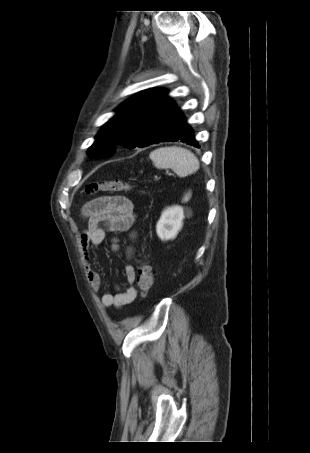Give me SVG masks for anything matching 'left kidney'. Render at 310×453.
Returning <instances> with one entry per match:
<instances>
[{
    "label": "left kidney",
    "mask_w": 310,
    "mask_h": 453,
    "mask_svg": "<svg viewBox=\"0 0 310 453\" xmlns=\"http://www.w3.org/2000/svg\"><path fill=\"white\" fill-rule=\"evenodd\" d=\"M191 194H187L183 201L187 202ZM187 215H191V210L186 209ZM184 209L181 206H172L165 209L156 225V233L162 241L174 239L182 229Z\"/></svg>",
    "instance_id": "left-kidney-1"
}]
</instances>
